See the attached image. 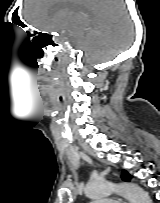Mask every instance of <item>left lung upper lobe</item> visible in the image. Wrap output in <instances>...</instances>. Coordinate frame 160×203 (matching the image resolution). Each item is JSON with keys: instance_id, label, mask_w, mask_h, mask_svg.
<instances>
[{"instance_id": "1", "label": "left lung upper lobe", "mask_w": 160, "mask_h": 203, "mask_svg": "<svg viewBox=\"0 0 160 203\" xmlns=\"http://www.w3.org/2000/svg\"><path fill=\"white\" fill-rule=\"evenodd\" d=\"M122 179L124 181H129L132 177L130 174H128L125 170L122 172V175H121Z\"/></svg>"}]
</instances>
